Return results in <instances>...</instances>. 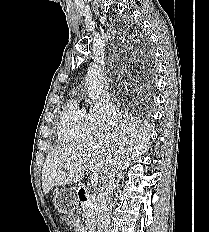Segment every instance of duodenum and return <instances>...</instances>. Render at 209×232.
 <instances>
[{"mask_svg": "<svg viewBox=\"0 0 209 232\" xmlns=\"http://www.w3.org/2000/svg\"><path fill=\"white\" fill-rule=\"evenodd\" d=\"M80 192L79 198L81 201H86L88 198V191L85 188H80L78 190ZM88 232H94L93 229H90Z\"/></svg>", "mask_w": 209, "mask_h": 232, "instance_id": "duodenum-1", "label": "duodenum"}]
</instances>
